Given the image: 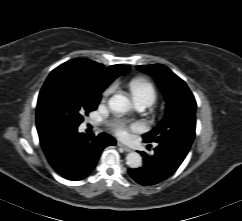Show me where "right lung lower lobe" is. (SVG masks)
I'll return each instance as SVG.
<instances>
[{
  "label": "right lung lower lobe",
  "mask_w": 242,
  "mask_h": 221,
  "mask_svg": "<svg viewBox=\"0 0 242 221\" xmlns=\"http://www.w3.org/2000/svg\"><path fill=\"white\" fill-rule=\"evenodd\" d=\"M40 144L54 170L72 181L86 177L95 167L102 150L116 140L105 134L85 137L76 128L50 126L38 131Z\"/></svg>",
  "instance_id": "obj_1"
}]
</instances>
